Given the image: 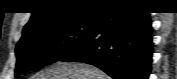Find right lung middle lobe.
<instances>
[{
	"label": "right lung middle lobe",
	"instance_id": "dd1d6c3e",
	"mask_svg": "<svg viewBox=\"0 0 177 79\" xmlns=\"http://www.w3.org/2000/svg\"><path fill=\"white\" fill-rule=\"evenodd\" d=\"M95 20H73L42 27L23 35L16 47L15 77L62 59L88 38Z\"/></svg>",
	"mask_w": 177,
	"mask_h": 79
}]
</instances>
